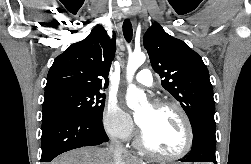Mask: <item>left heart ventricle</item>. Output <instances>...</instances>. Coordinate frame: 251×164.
Wrapping results in <instances>:
<instances>
[{
  "mask_svg": "<svg viewBox=\"0 0 251 164\" xmlns=\"http://www.w3.org/2000/svg\"><path fill=\"white\" fill-rule=\"evenodd\" d=\"M137 120L147 143L154 149L175 154L186 142V130L179 114L171 108L143 107Z\"/></svg>",
  "mask_w": 251,
  "mask_h": 164,
  "instance_id": "1",
  "label": "left heart ventricle"
}]
</instances>
